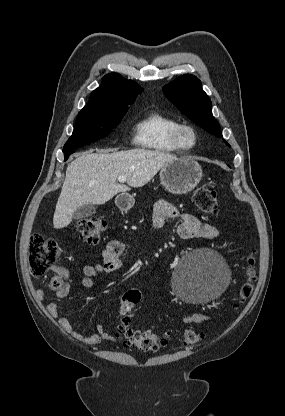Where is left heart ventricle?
Segmentation results:
<instances>
[{"label":"left heart ventricle","instance_id":"obj_1","mask_svg":"<svg viewBox=\"0 0 285 416\" xmlns=\"http://www.w3.org/2000/svg\"><path fill=\"white\" fill-rule=\"evenodd\" d=\"M182 137H183V141L186 145L190 146V145L193 144V137L189 132H187V131L183 132Z\"/></svg>","mask_w":285,"mask_h":416}]
</instances>
